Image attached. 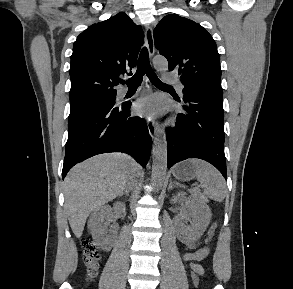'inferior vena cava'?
I'll list each match as a JSON object with an SVG mask.
<instances>
[{
	"mask_svg": "<svg viewBox=\"0 0 293 289\" xmlns=\"http://www.w3.org/2000/svg\"><path fill=\"white\" fill-rule=\"evenodd\" d=\"M137 174H131L127 180V187L129 189L133 188L137 183Z\"/></svg>",
	"mask_w": 293,
	"mask_h": 289,
	"instance_id": "obj_1",
	"label": "inferior vena cava"
}]
</instances>
